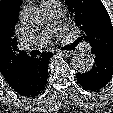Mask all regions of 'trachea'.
<instances>
[{
  "instance_id": "3493384b",
  "label": "trachea",
  "mask_w": 113,
  "mask_h": 113,
  "mask_svg": "<svg viewBox=\"0 0 113 113\" xmlns=\"http://www.w3.org/2000/svg\"><path fill=\"white\" fill-rule=\"evenodd\" d=\"M75 46H76V44H72V45L67 46L64 49L71 50V49H74ZM30 55L36 56V55H38V51L37 50H33V51L30 52Z\"/></svg>"
}]
</instances>
